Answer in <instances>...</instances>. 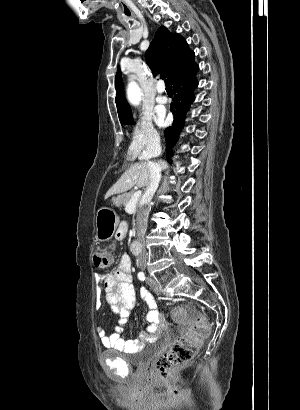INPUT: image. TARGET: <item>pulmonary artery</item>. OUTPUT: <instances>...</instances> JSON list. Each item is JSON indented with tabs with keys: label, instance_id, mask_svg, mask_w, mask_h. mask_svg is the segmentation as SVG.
<instances>
[{
	"label": "pulmonary artery",
	"instance_id": "1",
	"mask_svg": "<svg viewBox=\"0 0 300 410\" xmlns=\"http://www.w3.org/2000/svg\"><path fill=\"white\" fill-rule=\"evenodd\" d=\"M157 92H158L157 98H156L157 102L160 103V104L167 103L168 102V97L165 94V85H164L163 82L158 83Z\"/></svg>",
	"mask_w": 300,
	"mask_h": 410
}]
</instances>
